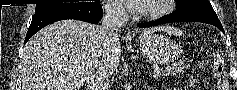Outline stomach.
<instances>
[{
	"label": "stomach",
	"instance_id": "1",
	"mask_svg": "<svg viewBox=\"0 0 237 90\" xmlns=\"http://www.w3.org/2000/svg\"><path fill=\"white\" fill-rule=\"evenodd\" d=\"M139 47L151 62L168 64L181 55V47L160 34H150L142 38Z\"/></svg>",
	"mask_w": 237,
	"mask_h": 90
}]
</instances>
